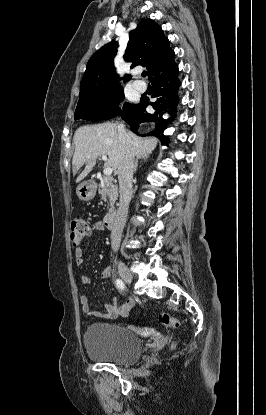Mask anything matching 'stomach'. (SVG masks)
<instances>
[{
    "instance_id": "1",
    "label": "stomach",
    "mask_w": 266,
    "mask_h": 415,
    "mask_svg": "<svg viewBox=\"0 0 266 415\" xmlns=\"http://www.w3.org/2000/svg\"><path fill=\"white\" fill-rule=\"evenodd\" d=\"M78 198L82 201H90L96 195V186L91 181H85L78 185L76 189Z\"/></svg>"
}]
</instances>
